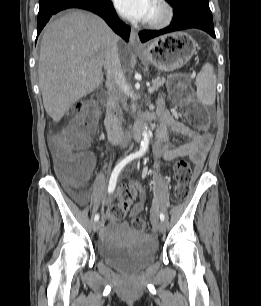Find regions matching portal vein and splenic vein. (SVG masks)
<instances>
[{"label": "portal vein and splenic vein", "instance_id": "18ae733b", "mask_svg": "<svg viewBox=\"0 0 261 306\" xmlns=\"http://www.w3.org/2000/svg\"><path fill=\"white\" fill-rule=\"evenodd\" d=\"M153 90L151 89L150 85H149V92H152Z\"/></svg>", "mask_w": 261, "mask_h": 306}]
</instances>
